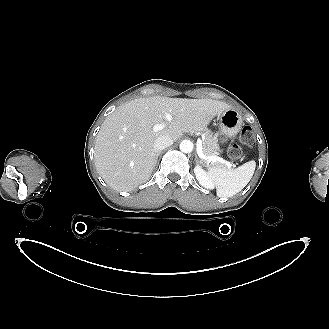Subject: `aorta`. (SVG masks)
Returning a JSON list of instances; mask_svg holds the SVG:
<instances>
[{
  "label": "aorta",
  "mask_w": 329,
  "mask_h": 329,
  "mask_svg": "<svg viewBox=\"0 0 329 329\" xmlns=\"http://www.w3.org/2000/svg\"><path fill=\"white\" fill-rule=\"evenodd\" d=\"M180 150L184 153H190L193 150V143L190 140H183L180 143Z\"/></svg>",
  "instance_id": "762f6f07"
}]
</instances>
